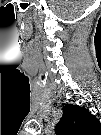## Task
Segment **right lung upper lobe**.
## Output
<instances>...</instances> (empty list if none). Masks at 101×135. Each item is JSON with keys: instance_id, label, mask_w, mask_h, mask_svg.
Instances as JSON below:
<instances>
[{"instance_id": "1", "label": "right lung upper lobe", "mask_w": 101, "mask_h": 135, "mask_svg": "<svg viewBox=\"0 0 101 135\" xmlns=\"http://www.w3.org/2000/svg\"><path fill=\"white\" fill-rule=\"evenodd\" d=\"M63 116L55 127L58 135H98L100 123L87 110L72 104L63 108Z\"/></svg>"}]
</instances>
